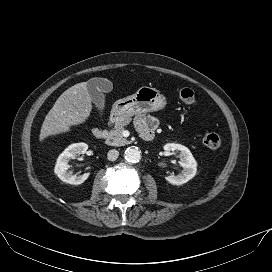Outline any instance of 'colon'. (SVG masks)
<instances>
[{
  "instance_id": "5ec220e1",
  "label": "colon",
  "mask_w": 272,
  "mask_h": 272,
  "mask_svg": "<svg viewBox=\"0 0 272 272\" xmlns=\"http://www.w3.org/2000/svg\"><path fill=\"white\" fill-rule=\"evenodd\" d=\"M179 99L188 105H192L196 102V96L191 88H183L179 92ZM203 144L211 149L218 150L221 147V139L215 133H207L203 136Z\"/></svg>"
}]
</instances>
